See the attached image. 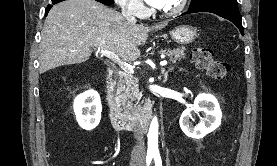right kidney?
<instances>
[{
  "label": "right kidney",
  "instance_id": "1",
  "mask_svg": "<svg viewBox=\"0 0 277 166\" xmlns=\"http://www.w3.org/2000/svg\"><path fill=\"white\" fill-rule=\"evenodd\" d=\"M74 112L80 127L92 130L98 126L101 119L102 105L99 94L88 90L78 95L74 100Z\"/></svg>",
  "mask_w": 277,
  "mask_h": 166
}]
</instances>
